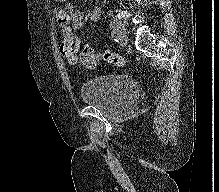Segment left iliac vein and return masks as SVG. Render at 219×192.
Returning <instances> with one entry per match:
<instances>
[{"mask_svg":"<svg viewBox=\"0 0 219 192\" xmlns=\"http://www.w3.org/2000/svg\"><path fill=\"white\" fill-rule=\"evenodd\" d=\"M114 31L118 37L119 42L124 46L127 45L128 40L126 37V29L124 28V26L122 24H117Z\"/></svg>","mask_w":219,"mask_h":192,"instance_id":"left-iliac-vein-1","label":"left iliac vein"}]
</instances>
